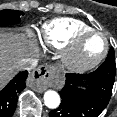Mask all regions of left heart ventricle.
<instances>
[{
  "label": "left heart ventricle",
  "instance_id": "left-heart-ventricle-1",
  "mask_svg": "<svg viewBox=\"0 0 117 117\" xmlns=\"http://www.w3.org/2000/svg\"><path fill=\"white\" fill-rule=\"evenodd\" d=\"M103 47L104 42L100 36H90L81 44L80 58L83 60H91L102 52Z\"/></svg>",
  "mask_w": 117,
  "mask_h": 117
}]
</instances>
